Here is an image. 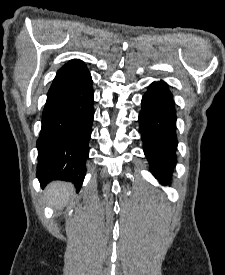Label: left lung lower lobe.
Segmentation results:
<instances>
[{"label": "left lung lower lobe", "mask_w": 225, "mask_h": 275, "mask_svg": "<svg viewBox=\"0 0 225 275\" xmlns=\"http://www.w3.org/2000/svg\"><path fill=\"white\" fill-rule=\"evenodd\" d=\"M172 93L164 81L153 82L142 98L139 114L141 139L152 174L169 184L176 165V114Z\"/></svg>", "instance_id": "obj_1"}]
</instances>
